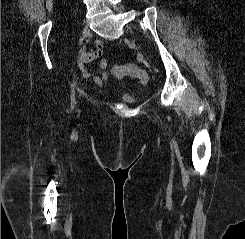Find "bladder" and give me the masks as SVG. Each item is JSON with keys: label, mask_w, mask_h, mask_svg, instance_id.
Listing matches in <instances>:
<instances>
[{"label": "bladder", "mask_w": 245, "mask_h": 239, "mask_svg": "<svg viewBox=\"0 0 245 239\" xmlns=\"http://www.w3.org/2000/svg\"><path fill=\"white\" fill-rule=\"evenodd\" d=\"M122 98H123L124 100H126L127 102H129V103H137V98H135V97H133V96H131V95L124 94V95L122 96Z\"/></svg>", "instance_id": "1"}]
</instances>
